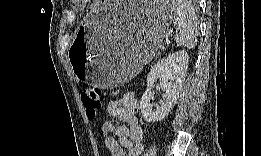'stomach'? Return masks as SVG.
<instances>
[{"mask_svg": "<svg viewBox=\"0 0 261 156\" xmlns=\"http://www.w3.org/2000/svg\"><path fill=\"white\" fill-rule=\"evenodd\" d=\"M171 16L167 2L97 5L78 28L70 49L77 79L103 89L129 81L155 56Z\"/></svg>", "mask_w": 261, "mask_h": 156, "instance_id": "0dacf381", "label": "stomach"}]
</instances>
